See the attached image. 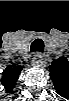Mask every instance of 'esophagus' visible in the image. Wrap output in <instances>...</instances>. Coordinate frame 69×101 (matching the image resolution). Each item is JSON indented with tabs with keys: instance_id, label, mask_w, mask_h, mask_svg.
Returning <instances> with one entry per match:
<instances>
[{
	"instance_id": "esophagus-1",
	"label": "esophagus",
	"mask_w": 69,
	"mask_h": 101,
	"mask_svg": "<svg viewBox=\"0 0 69 101\" xmlns=\"http://www.w3.org/2000/svg\"><path fill=\"white\" fill-rule=\"evenodd\" d=\"M45 62L43 60V57L40 53H36L32 60V65L36 68H42L44 66Z\"/></svg>"
}]
</instances>
